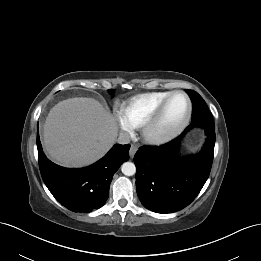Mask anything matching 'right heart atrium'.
<instances>
[{
    "mask_svg": "<svg viewBox=\"0 0 261 261\" xmlns=\"http://www.w3.org/2000/svg\"><path fill=\"white\" fill-rule=\"evenodd\" d=\"M118 120H119V124H120L121 128L124 131H129L130 130V127L128 126V124L126 123L124 118L118 117Z\"/></svg>",
    "mask_w": 261,
    "mask_h": 261,
    "instance_id": "right-heart-atrium-1",
    "label": "right heart atrium"
}]
</instances>
